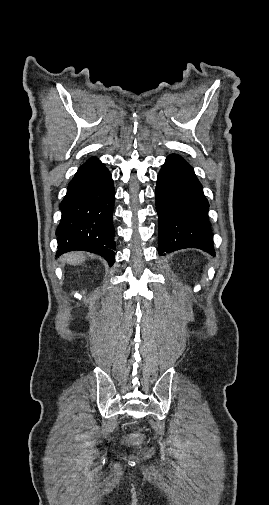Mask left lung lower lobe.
Wrapping results in <instances>:
<instances>
[{"label": "left lung lower lobe", "instance_id": "0a47b994", "mask_svg": "<svg viewBox=\"0 0 269 505\" xmlns=\"http://www.w3.org/2000/svg\"><path fill=\"white\" fill-rule=\"evenodd\" d=\"M155 197L159 254L197 248L214 255L209 203L193 168L180 156L167 157Z\"/></svg>", "mask_w": 269, "mask_h": 505}]
</instances>
